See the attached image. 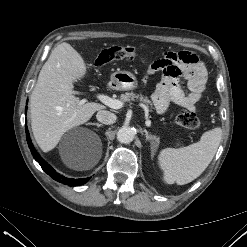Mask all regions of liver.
Instances as JSON below:
<instances>
[{"mask_svg": "<svg viewBox=\"0 0 247 247\" xmlns=\"http://www.w3.org/2000/svg\"><path fill=\"white\" fill-rule=\"evenodd\" d=\"M86 64L82 56L68 43L54 48L43 65L30 98L31 127L39 147L54 149L65 132L87 122L105 108L95 102L81 103L74 96L73 83L85 77ZM101 158V150L93 158L81 162L66 161L74 170L93 168Z\"/></svg>", "mask_w": 247, "mask_h": 247, "instance_id": "1", "label": "liver"}]
</instances>
